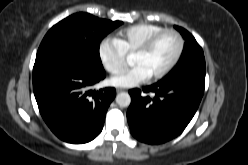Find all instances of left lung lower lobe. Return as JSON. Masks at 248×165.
Segmentation results:
<instances>
[{
	"label": "left lung lower lobe",
	"instance_id": "1",
	"mask_svg": "<svg viewBox=\"0 0 248 165\" xmlns=\"http://www.w3.org/2000/svg\"><path fill=\"white\" fill-rule=\"evenodd\" d=\"M205 71L161 80L129 91L131 104L127 120L132 135L141 142L159 144L177 137L193 118L204 93Z\"/></svg>",
	"mask_w": 248,
	"mask_h": 165
}]
</instances>
